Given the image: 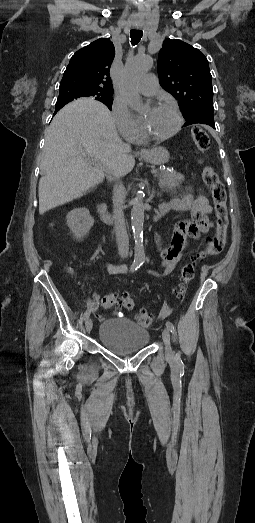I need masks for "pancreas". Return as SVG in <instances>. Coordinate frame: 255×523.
Returning a JSON list of instances; mask_svg holds the SVG:
<instances>
[{
    "instance_id": "pancreas-1",
    "label": "pancreas",
    "mask_w": 255,
    "mask_h": 523,
    "mask_svg": "<svg viewBox=\"0 0 255 523\" xmlns=\"http://www.w3.org/2000/svg\"><path fill=\"white\" fill-rule=\"evenodd\" d=\"M155 178H158L161 190L170 192V194H177L176 186H179L180 182H183L184 180L182 174H177V172H165V170H159V174H156Z\"/></svg>"
}]
</instances>
